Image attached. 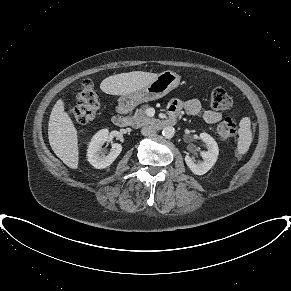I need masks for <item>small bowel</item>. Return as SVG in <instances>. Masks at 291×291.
<instances>
[{
  "instance_id": "1",
  "label": "small bowel",
  "mask_w": 291,
  "mask_h": 291,
  "mask_svg": "<svg viewBox=\"0 0 291 291\" xmlns=\"http://www.w3.org/2000/svg\"><path fill=\"white\" fill-rule=\"evenodd\" d=\"M168 111L171 116H176L181 111H184L189 116H196L202 113L204 121L210 125L218 123L222 118V114L218 111L203 110L200 101L197 99H190L185 102L172 100L168 105Z\"/></svg>"
}]
</instances>
